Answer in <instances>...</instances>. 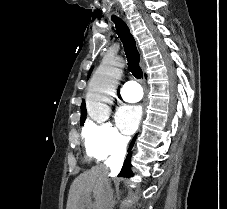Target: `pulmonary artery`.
<instances>
[{"label": "pulmonary artery", "mask_w": 227, "mask_h": 209, "mask_svg": "<svg viewBox=\"0 0 227 209\" xmlns=\"http://www.w3.org/2000/svg\"><path fill=\"white\" fill-rule=\"evenodd\" d=\"M142 88H138V84L134 82H125L121 88L120 94L126 102H137L141 99Z\"/></svg>", "instance_id": "obj_1"}]
</instances>
